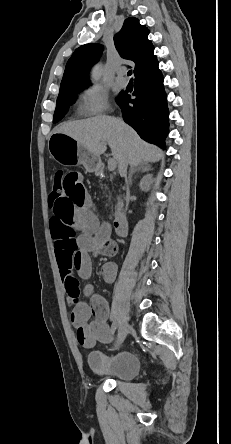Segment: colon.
<instances>
[{
	"label": "colon",
	"instance_id": "obj_1",
	"mask_svg": "<svg viewBox=\"0 0 231 444\" xmlns=\"http://www.w3.org/2000/svg\"><path fill=\"white\" fill-rule=\"evenodd\" d=\"M65 174L62 169H56L53 172L52 177V192L51 197L54 199L63 198L66 194V189L64 185Z\"/></svg>",
	"mask_w": 231,
	"mask_h": 444
}]
</instances>
